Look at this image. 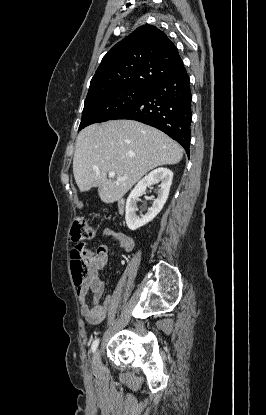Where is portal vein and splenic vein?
I'll list each match as a JSON object with an SVG mask.
<instances>
[{
    "mask_svg": "<svg viewBox=\"0 0 266 415\" xmlns=\"http://www.w3.org/2000/svg\"><path fill=\"white\" fill-rule=\"evenodd\" d=\"M115 172L114 171H110L109 173H108V176H109V178H114L115 177ZM117 179L118 180H125V179H127V177H117Z\"/></svg>",
    "mask_w": 266,
    "mask_h": 415,
    "instance_id": "1",
    "label": "portal vein and splenic vein"
}]
</instances>
